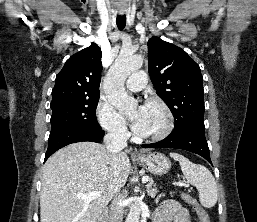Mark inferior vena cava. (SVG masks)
<instances>
[{
  "instance_id": "1",
  "label": "inferior vena cava",
  "mask_w": 257,
  "mask_h": 222,
  "mask_svg": "<svg viewBox=\"0 0 257 222\" xmlns=\"http://www.w3.org/2000/svg\"><path fill=\"white\" fill-rule=\"evenodd\" d=\"M128 135L126 130L120 126H113L109 129L104 137L107 152L111 155H116L122 149L127 147ZM123 221V206L119 199H114L110 205L109 222Z\"/></svg>"
}]
</instances>
